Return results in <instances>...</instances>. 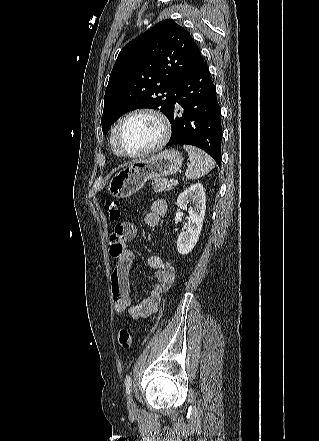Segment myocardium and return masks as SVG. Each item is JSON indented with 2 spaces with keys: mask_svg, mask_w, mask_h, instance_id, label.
Returning <instances> with one entry per match:
<instances>
[{
  "mask_svg": "<svg viewBox=\"0 0 319 441\" xmlns=\"http://www.w3.org/2000/svg\"><path fill=\"white\" fill-rule=\"evenodd\" d=\"M138 115H147L157 121L160 127V137L152 146L139 152H127L120 144L119 133L122 125L131 117ZM171 134V125L168 118L159 110L150 107L136 108L126 113L116 124L114 128L113 138L116 150L121 156L129 158H139L152 154L160 150L168 141Z\"/></svg>",
  "mask_w": 319,
  "mask_h": 441,
  "instance_id": "obj_1",
  "label": "myocardium"
}]
</instances>
